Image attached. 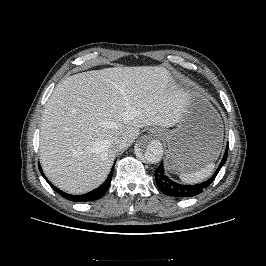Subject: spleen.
<instances>
[{"label": "spleen", "mask_w": 266, "mask_h": 266, "mask_svg": "<svg viewBox=\"0 0 266 266\" xmlns=\"http://www.w3.org/2000/svg\"><path fill=\"white\" fill-rule=\"evenodd\" d=\"M214 168L215 164L210 163L197 171L181 173L179 177L185 183H199L211 176Z\"/></svg>", "instance_id": "3e777b00"}]
</instances>
